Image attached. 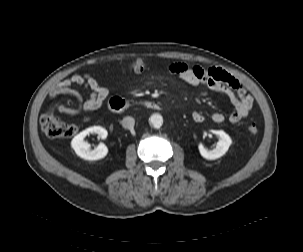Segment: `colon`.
I'll return each mask as SVG.
<instances>
[{
  "mask_svg": "<svg viewBox=\"0 0 303 252\" xmlns=\"http://www.w3.org/2000/svg\"><path fill=\"white\" fill-rule=\"evenodd\" d=\"M129 68L141 71L146 68V64L142 60H137L132 62ZM55 108L56 101L51 100L48 111L41 117L40 123L44 134L49 138H66L74 135L77 131L76 127L60 120L55 114ZM258 131L259 126L256 123L249 124L248 132L251 135H256Z\"/></svg>",
  "mask_w": 303,
  "mask_h": 252,
  "instance_id": "obj_1",
  "label": "colon"
}]
</instances>
